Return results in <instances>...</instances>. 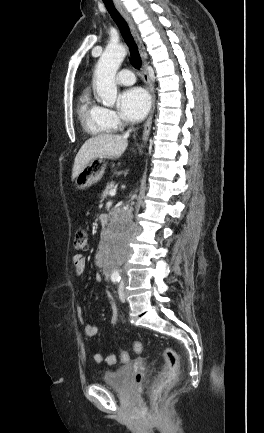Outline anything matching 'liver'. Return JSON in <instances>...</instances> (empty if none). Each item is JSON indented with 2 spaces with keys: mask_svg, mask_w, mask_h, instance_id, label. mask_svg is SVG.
Returning a JSON list of instances; mask_svg holds the SVG:
<instances>
[{
  "mask_svg": "<svg viewBox=\"0 0 264 433\" xmlns=\"http://www.w3.org/2000/svg\"><path fill=\"white\" fill-rule=\"evenodd\" d=\"M127 146V138L121 135L103 134L88 139L75 157L72 181L91 160L95 158H118L124 153Z\"/></svg>",
  "mask_w": 264,
  "mask_h": 433,
  "instance_id": "6515ba94",
  "label": "liver"
}]
</instances>
